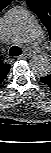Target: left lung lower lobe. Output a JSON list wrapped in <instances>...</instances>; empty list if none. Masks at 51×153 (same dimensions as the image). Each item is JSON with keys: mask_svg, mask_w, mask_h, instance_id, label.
Returning a JSON list of instances; mask_svg holds the SVG:
<instances>
[{"mask_svg": "<svg viewBox=\"0 0 51 153\" xmlns=\"http://www.w3.org/2000/svg\"><path fill=\"white\" fill-rule=\"evenodd\" d=\"M40 80L47 86L51 87V77L48 75L45 77H41Z\"/></svg>", "mask_w": 51, "mask_h": 153, "instance_id": "left-lung-lower-lobe-1", "label": "left lung lower lobe"}]
</instances>
